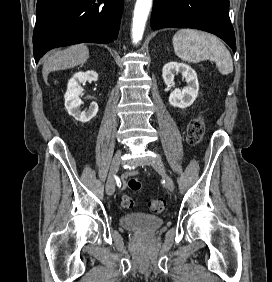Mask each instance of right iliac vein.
<instances>
[{
	"instance_id": "obj_1",
	"label": "right iliac vein",
	"mask_w": 272,
	"mask_h": 282,
	"mask_svg": "<svg viewBox=\"0 0 272 282\" xmlns=\"http://www.w3.org/2000/svg\"><path fill=\"white\" fill-rule=\"evenodd\" d=\"M121 155H122V151L118 150L114 155L111 163L110 173L106 183V193L110 196L113 195L115 192V174L119 169V165L121 162Z\"/></svg>"
}]
</instances>
